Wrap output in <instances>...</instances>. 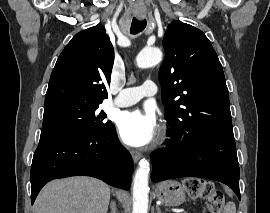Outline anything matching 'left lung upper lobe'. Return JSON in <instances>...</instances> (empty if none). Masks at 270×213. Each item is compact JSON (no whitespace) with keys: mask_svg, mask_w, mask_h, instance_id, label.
I'll return each mask as SVG.
<instances>
[{"mask_svg":"<svg viewBox=\"0 0 270 213\" xmlns=\"http://www.w3.org/2000/svg\"><path fill=\"white\" fill-rule=\"evenodd\" d=\"M165 59L159 70L162 102L171 132L233 134L229 92L222 65L205 34L173 21L163 39Z\"/></svg>","mask_w":270,"mask_h":213,"instance_id":"obj_1","label":"left lung upper lobe"}]
</instances>
